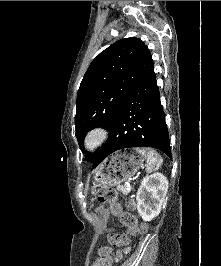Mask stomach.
Instances as JSON below:
<instances>
[{
	"label": "stomach",
	"instance_id": "obj_1",
	"mask_svg": "<svg viewBox=\"0 0 221 266\" xmlns=\"http://www.w3.org/2000/svg\"><path fill=\"white\" fill-rule=\"evenodd\" d=\"M144 160L145 156L137 149L114 153L99 165L94 180L99 185H118L132 177L143 165Z\"/></svg>",
	"mask_w": 221,
	"mask_h": 266
}]
</instances>
